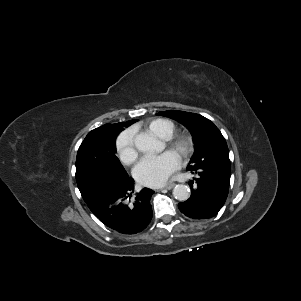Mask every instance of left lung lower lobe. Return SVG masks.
Returning a JSON list of instances; mask_svg holds the SVG:
<instances>
[{
    "label": "left lung lower lobe",
    "instance_id": "0a47b994",
    "mask_svg": "<svg viewBox=\"0 0 301 301\" xmlns=\"http://www.w3.org/2000/svg\"><path fill=\"white\" fill-rule=\"evenodd\" d=\"M197 177L189 182L191 196L179 203L180 211L193 219L215 216L224 205L230 182V173L216 169L190 170Z\"/></svg>",
    "mask_w": 301,
    "mask_h": 301
}]
</instances>
